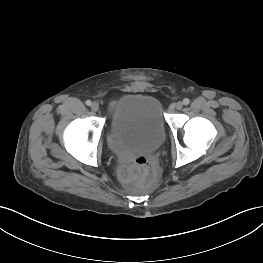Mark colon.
<instances>
[{
    "label": "colon",
    "mask_w": 263,
    "mask_h": 263,
    "mask_svg": "<svg viewBox=\"0 0 263 263\" xmlns=\"http://www.w3.org/2000/svg\"><path fill=\"white\" fill-rule=\"evenodd\" d=\"M131 170L144 185H151L156 179L157 172L154 165L144 157L138 158L131 166Z\"/></svg>",
    "instance_id": "1"
}]
</instances>
